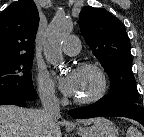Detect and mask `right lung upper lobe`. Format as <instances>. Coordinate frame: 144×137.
<instances>
[{"instance_id":"cb5924a9","label":"right lung upper lobe","mask_w":144,"mask_h":137,"mask_svg":"<svg viewBox=\"0 0 144 137\" xmlns=\"http://www.w3.org/2000/svg\"><path fill=\"white\" fill-rule=\"evenodd\" d=\"M39 13L32 0H19L0 13V63L33 56Z\"/></svg>"}]
</instances>
